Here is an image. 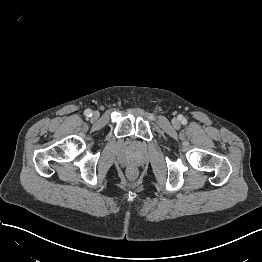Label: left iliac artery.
I'll use <instances>...</instances> for the list:
<instances>
[{"label":"left iliac artery","mask_w":262,"mask_h":262,"mask_svg":"<svg viewBox=\"0 0 262 262\" xmlns=\"http://www.w3.org/2000/svg\"><path fill=\"white\" fill-rule=\"evenodd\" d=\"M182 123H183V124H184V123H186V121H185V119H184V118L182 119Z\"/></svg>","instance_id":"44dca946"}]
</instances>
